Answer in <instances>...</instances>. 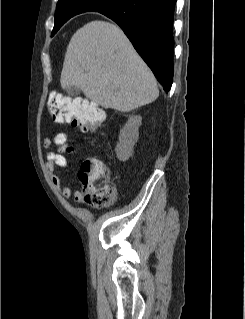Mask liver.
Masks as SVG:
<instances>
[{"instance_id":"obj_1","label":"liver","mask_w":245,"mask_h":319,"mask_svg":"<svg viewBox=\"0 0 245 319\" xmlns=\"http://www.w3.org/2000/svg\"><path fill=\"white\" fill-rule=\"evenodd\" d=\"M61 87L79 88L104 108L129 112L158 98L156 79L123 31L106 21L78 29L66 50Z\"/></svg>"}]
</instances>
